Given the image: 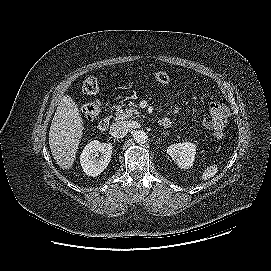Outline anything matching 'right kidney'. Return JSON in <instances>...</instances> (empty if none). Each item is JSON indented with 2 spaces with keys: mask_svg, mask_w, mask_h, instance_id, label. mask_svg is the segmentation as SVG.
I'll return each mask as SVG.
<instances>
[{
  "mask_svg": "<svg viewBox=\"0 0 271 271\" xmlns=\"http://www.w3.org/2000/svg\"><path fill=\"white\" fill-rule=\"evenodd\" d=\"M101 153L100 158H96ZM112 155L111 143H100L97 140L88 143L80 156V163L83 171L88 176L100 175L108 166Z\"/></svg>",
  "mask_w": 271,
  "mask_h": 271,
  "instance_id": "obj_1",
  "label": "right kidney"
}]
</instances>
